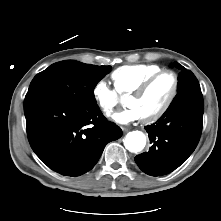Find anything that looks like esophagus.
<instances>
[{
  "mask_svg": "<svg viewBox=\"0 0 221 221\" xmlns=\"http://www.w3.org/2000/svg\"><path fill=\"white\" fill-rule=\"evenodd\" d=\"M122 130H123V132L126 133V132H128L129 129L127 127H125V126H122Z\"/></svg>",
  "mask_w": 221,
  "mask_h": 221,
  "instance_id": "obj_1",
  "label": "esophagus"
}]
</instances>
